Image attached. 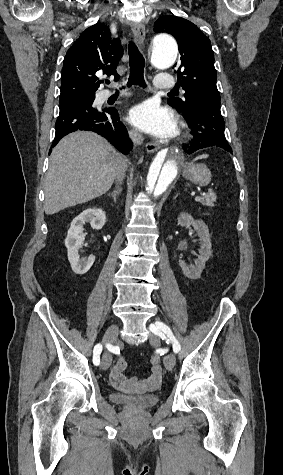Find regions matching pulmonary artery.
<instances>
[{
  "instance_id": "pulmonary-artery-1",
  "label": "pulmonary artery",
  "mask_w": 283,
  "mask_h": 475,
  "mask_svg": "<svg viewBox=\"0 0 283 475\" xmlns=\"http://www.w3.org/2000/svg\"><path fill=\"white\" fill-rule=\"evenodd\" d=\"M152 86L154 89H175L176 87V82L175 80H154L153 83H152ZM108 94L111 92L112 94H124L126 91L123 89H118V90H114L112 89L111 91L108 89L106 91Z\"/></svg>"
}]
</instances>
